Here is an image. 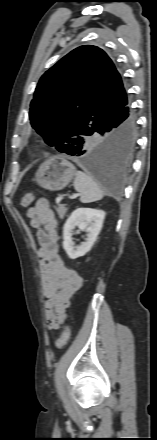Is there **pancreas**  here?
Wrapping results in <instances>:
<instances>
[{
  "label": "pancreas",
  "instance_id": "obj_1",
  "mask_svg": "<svg viewBox=\"0 0 157 440\" xmlns=\"http://www.w3.org/2000/svg\"><path fill=\"white\" fill-rule=\"evenodd\" d=\"M56 211H57V213H58V215H59V218H60V219H63L64 216H65V214H66V212H67V207H66L65 204H59V205L56 207Z\"/></svg>",
  "mask_w": 157,
  "mask_h": 440
}]
</instances>
